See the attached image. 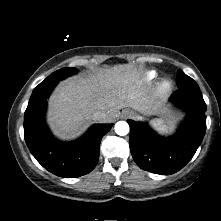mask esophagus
I'll return each instance as SVG.
<instances>
[{
	"label": "esophagus",
	"instance_id": "esophagus-1",
	"mask_svg": "<svg viewBox=\"0 0 221 221\" xmlns=\"http://www.w3.org/2000/svg\"><path fill=\"white\" fill-rule=\"evenodd\" d=\"M124 116H125V117H126V116H127V117L131 116V112L125 111V112H124Z\"/></svg>",
	"mask_w": 221,
	"mask_h": 221
}]
</instances>
